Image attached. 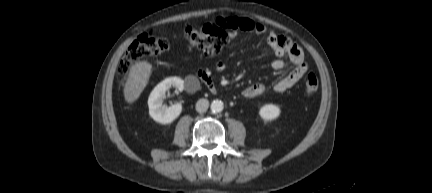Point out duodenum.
Listing matches in <instances>:
<instances>
[{"label":"duodenum","instance_id":"obj_1","mask_svg":"<svg viewBox=\"0 0 432 193\" xmlns=\"http://www.w3.org/2000/svg\"><path fill=\"white\" fill-rule=\"evenodd\" d=\"M195 74L200 80H202L206 84V86L211 92L217 93V86L215 85L213 79L205 71L198 70Z\"/></svg>","mask_w":432,"mask_h":193}]
</instances>
